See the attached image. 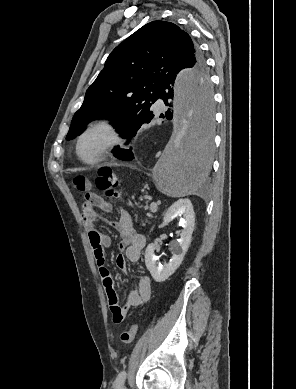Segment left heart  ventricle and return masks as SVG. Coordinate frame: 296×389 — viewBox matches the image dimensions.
<instances>
[{"label": "left heart ventricle", "instance_id": "obj_1", "mask_svg": "<svg viewBox=\"0 0 296 389\" xmlns=\"http://www.w3.org/2000/svg\"><path fill=\"white\" fill-rule=\"evenodd\" d=\"M104 142L102 134L94 133L86 137L82 143V153L86 157H93Z\"/></svg>", "mask_w": 296, "mask_h": 389}]
</instances>
